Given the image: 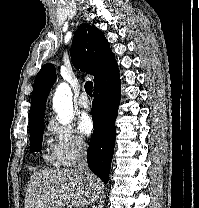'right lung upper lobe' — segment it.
Returning a JSON list of instances; mask_svg holds the SVG:
<instances>
[{
	"label": "right lung upper lobe",
	"mask_w": 199,
	"mask_h": 208,
	"mask_svg": "<svg viewBox=\"0 0 199 208\" xmlns=\"http://www.w3.org/2000/svg\"><path fill=\"white\" fill-rule=\"evenodd\" d=\"M70 54L77 69L94 76V89L119 78L118 65L110 44L104 33L94 25L83 24L77 29ZM55 81L54 65L45 64L34 81L29 115L30 130L44 124L46 100Z\"/></svg>",
	"instance_id": "right-lung-upper-lobe-1"
}]
</instances>
